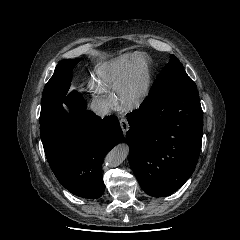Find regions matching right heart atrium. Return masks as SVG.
Here are the masks:
<instances>
[{
  "label": "right heart atrium",
  "instance_id": "d8ad5b80",
  "mask_svg": "<svg viewBox=\"0 0 240 240\" xmlns=\"http://www.w3.org/2000/svg\"><path fill=\"white\" fill-rule=\"evenodd\" d=\"M90 89L94 92V93H103L104 92V89L99 86V85H96V84H91L90 85Z\"/></svg>",
  "mask_w": 240,
  "mask_h": 240
}]
</instances>
